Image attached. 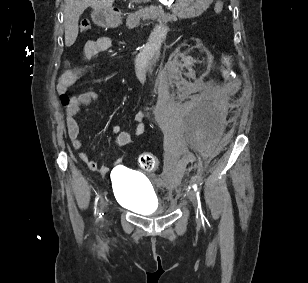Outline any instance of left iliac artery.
Returning <instances> with one entry per match:
<instances>
[{"label":"left iliac artery","mask_w":308,"mask_h":283,"mask_svg":"<svg viewBox=\"0 0 308 283\" xmlns=\"http://www.w3.org/2000/svg\"><path fill=\"white\" fill-rule=\"evenodd\" d=\"M193 189L196 192V197H197V201H198V209H199V212H200V215H201V219L204 222V219L206 220V218H205V216L202 212V209H201L200 192H199L198 186L196 184H194Z\"/></svg>","instance_id":"44dca946"}]
</instances>
